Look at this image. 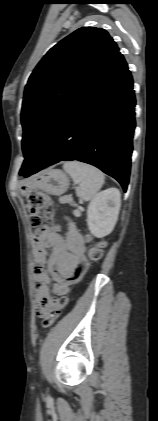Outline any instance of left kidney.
<instances>
[{
  "label": "left kidney",
  "instance_id": "5707ae66",
  "mask_svg": "<svg viewBox=\"0 0 158 421\" xmlns=\"http://www.w3.org/2000/svg\"><path fill=\"white\" fill-rule=\"evenodd\" d=\"M121 205V194L117 188L98 193L87 210V224L97 238L109 235L117 222Z\"/></svg>",
  "mask_w": 158,
  "mask_h": 421
}]
</instances>
